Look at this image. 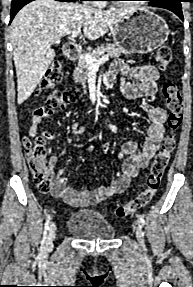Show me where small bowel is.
<instances>
[{
    "instance_id": "c3829d8e",
    "label": "small bowel",
    "mask_w": 193,
    "mask_h": 287,
    "mask_svg": "<svg viewBox=\"0 0 193 287\" xmlns=\"http://www.w3.org/2000/svg\"><path fill=\"white\" fill-rule=\"evenodd\" d=\"M111 72L123 76L122 92L126 99H137L145 97L149 99L150 105L147 109V116L150 120L147 135L141 143L139 140H130L126 142L118 156L122 159V166L116 172L115 177L107 184L90 188L81 192L67 185L65 177L66 170L58 168L51 182V194L53 197L60 198L66 203L74 206L94 205L116 194L124 191L132 178L137 176L139 170L145 168L151 157L160 147L165 132V121L167 112L163 106L157 104V82L159 80V71L152 66H142L130 68L121 60H116L111 65ZM130 76L136 82L127 81L125 77ZM44 117H33L29 128V135L35 136L39 126L44 121ZM70 130L73 135H82L85 128L77 122L70 124ZM49 140L54 139V133H46ZM105 155L109 152V144L104 142L101 145ZM88 150L93 146H88ZM64 154L53 155L50 158L52 167H55L59 159Z\"/></svg>"
}]
</instances>
